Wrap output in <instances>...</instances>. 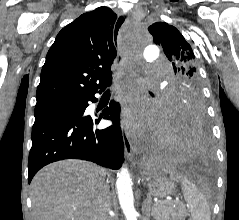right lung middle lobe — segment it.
<instances>
[{
  "label": "right lung middle lobe",
  "instance_id": "obj_1",
  "mask_svg": "<svg viewBox=\"0 0 239 220\" xmlns=\"http://www.w3.org/2000/svg\"><path fill=\"white\" fill-rule=\"evenodd\" d=\"M69 104H52L35 108V114L41 112L58 111L67 108Z\"/></svg>",
  "mask_w": 239,
  "mask_h": 220
}]
</instances>
